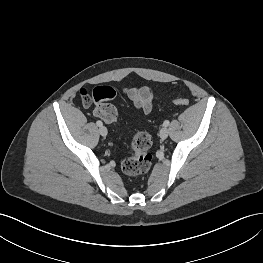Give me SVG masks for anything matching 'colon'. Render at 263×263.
I'll list each match as a JSON object with an SVG mask.
<instances>
[{
	"instance_id": "1",
	"label": "colon",
	"mask_w": 263,
	"mask_h": 263,
	"mask_svg": "<svg viewBox=\"0 0 263 263\" xmlns=\"http://www.w3.org/2000/svg\"><path fill=\"white\" fill-rule=\"evenodd\" d=\"M80 94L83 104L89 105L92 102L96 104V116L106 123H116L118 111L116 107L110 103V100L116 95V91L113 87L108 85L97 86L94 88L92 96L88 94L86 89H81ZM174 103L179 106H186L189 102L186 98L179 97L174 99ZM151 146V136L145 131L137 132L131 141V150L133 154L122 161V171L130 176H137L147 172L153 160L150 152Z\"/></svg>"
}]
</instances>
